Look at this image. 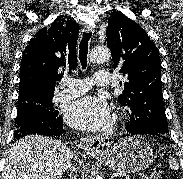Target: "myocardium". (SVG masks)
<instances>
[{
    "label": "myocardium",
    "mask_w": 183,
    "mask_h": 179,
    "mask_svg": "<svg viewBox=\"0 0 183 179\" xmlns=\"http://www.w3.org/2000/svg\"><path fill=\"white\" fill-rule=\"evenodd\" d=\"M115 120H116V121L122 120V115H121V114H116Z\"/></svg>",
    "instance_id": "myocardium-1"
}]
</instances>
